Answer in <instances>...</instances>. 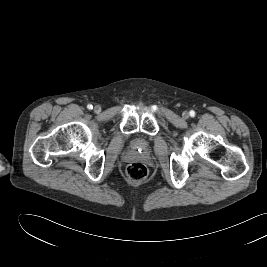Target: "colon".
Listing matches in <instances>:
<instances>
[{
  "label": "colon",
  "mask_w": 267,
  "mask_h": 267,
  "mask_svg": "<svg viewBox=\"0 0 267 267\" xmlns=\"http://www.w3.org/2000/svg\"><path fill=\"white\" fill-rule=\"evenodd\" d=\"M126 172L128 178L134 182L143 181L148 174L147 167L140 162L131 163Z\"/></svg>",
  "instance_id": "colon-1"
}]
</instances>
